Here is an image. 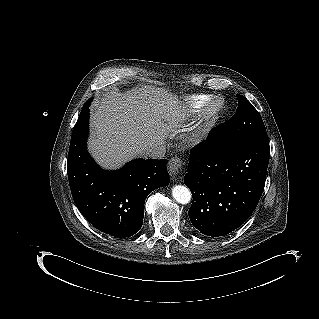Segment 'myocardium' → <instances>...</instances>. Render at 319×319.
Wrapping results in <instances>:
<instances>
[{"mask_svg":"<svg viewBox=\"0 0 319 319\" xmlns=\"http://www.w3.org/2000/svg\"><path fill=\"white\" fill-rule=\"evenodd\" d=\"M224 107L219 97H211L199 110L198 116L190 127L187 139L190 142L200 141L212 128Z\"/></svg>","mask_w":319,"mask_h":319,"instance_id":"myocardium-1","label":"myocardium"}]
</instances>
